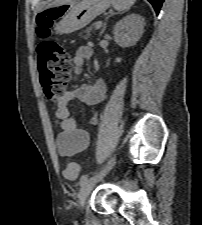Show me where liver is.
Returning <instances> with one entry per match:
<instances>
[{
	"label": "liver",
	"instance_id": "6515ba94",
	"mask_svg": "<svg viewBox=\"0 0 202 225\" xmlns=\"http://www.w3.org/2000/svg\"><path fill=\"white\" fill-rule=\"evenodd\" d=\"M74 0H54L52 3L48 5V7L59 6L63 4L72 3Z\"/></svg>",
	"mask_w": 202,
	"mask_h": 225
}]
</instances>
